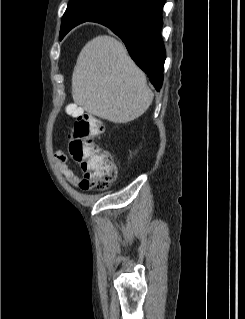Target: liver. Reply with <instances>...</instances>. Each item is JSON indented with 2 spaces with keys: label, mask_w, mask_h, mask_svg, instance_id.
I'll return each mask as SVG.
<instances>
[{
  "label": "liver",
  "mask_w": 245,
  "mask_h": 319,
  "mask_svg": "<svg viewBox=\"0 0 245 319\" xmlns=\"http://www.w3.org/2000/svg\"><path fill=\"white\" fill-rule=\"evenodd\" d=\"M72 97L87 113L113 123L141 116L154 94L124 45L108 35L86 43L72 75Z\"/></svg>",
  "instance_id": "1"
}]
</instances>
